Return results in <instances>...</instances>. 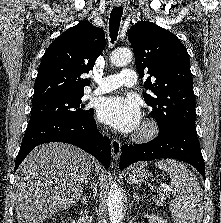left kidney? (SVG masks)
<instances>
[{
  "label": "left kidney",
  "instance_id": "5707ae66",
  "mask_svg": "<svg viewBox=\"0 0 221 223\" xmlns=\"http://www.w3.org/2000/svg\"><path fill=\"white\" fill-rule=\"evenodd\" d=\"M145 217L149 219V223H167L165 219L155 214H146Z\"/></svg>",
  "mask_w": 221,
  "mask_h": 223
}]
</instances>
